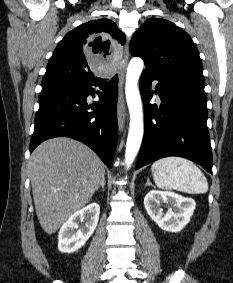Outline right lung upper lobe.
Masks as SVG:
<instances>
[{
    "label": "right lung upper lobe",
    "instance_id": "right-lung-upper-lobe-1",
    "mask_svg": "<svg viewBox=\"0 0 233 283\" xmlns=\"http://www.w3.org/2000/svg\"><path fill=\"white\" fill-rule=\"evenodd\" d=\"M125 35L108 19H98L81 24L70 31L55 48L46 68L42 83H85L99 79L94 70H110L123 45Z\"/></svg>",
    "mask_w": 233,
    "mask_h": 283
}]
</instances>
